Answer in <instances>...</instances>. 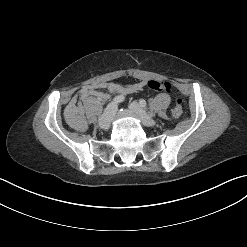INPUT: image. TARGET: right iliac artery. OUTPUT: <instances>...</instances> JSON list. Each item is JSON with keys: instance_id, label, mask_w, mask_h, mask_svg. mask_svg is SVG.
Wrapping results in <instances>:
<instances>
[{"instance_id": "82829eb1", "label": "right iliac artery", "mask_w": 247, "mask_h": 247, "mask_svg": "<svg viewBox=\"0 0 247 247\" xmlns=\"http://www.w3.org/2000/svg\"><path fill=\"white\" fill-rule=\"evenodd\" d=\"M124 99H125V97L123 95L116 96L113 99V103H120V102L124 101Z\"/></svg>"}]
</instances>
